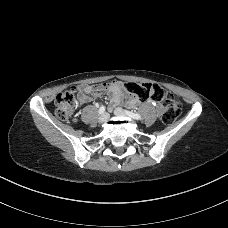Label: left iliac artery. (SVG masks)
Here are the masks:
<instances>
[{
  "label": "left iliac artery",
  "instance_id": "1",
  "mask_svg": "<svg viewBox=\"0 0 228 228\" xmlns=\"http://www.w3.org/2000/svg\"><path fill=\"white\" fill-rule=\"evenodd\" d=\"M126 113L128 114V116L134 118V119H137V120H140L141 119V115L138 114V113H134L132 111H126Z\"/></svg>",
  "mask_w": 228,
  "mask_h": 228
}]
</instances>
